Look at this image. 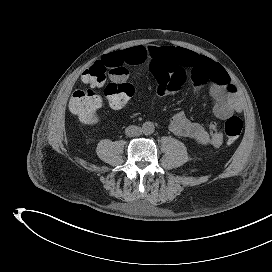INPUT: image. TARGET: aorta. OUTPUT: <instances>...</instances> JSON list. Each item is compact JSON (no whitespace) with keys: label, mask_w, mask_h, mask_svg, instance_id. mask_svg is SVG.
Listing matches in <instances>:
<instances>
[{"label":"aorta","mask_w":272,"mask_h":272,"mask_svg":"<svg viewBox=\"0 0 272 272\" xmlns=\"http://www.w3.org/2000/svg\"><path fill=\"white\" fill-rule=\"evenodd\" d=\"M155 130V126L152 122L150 121H147L145 123H143L142 125V132L145 134V135H150L154 132Z\"/></svg>","instance_id":"aorta-1"}]
</instances>
